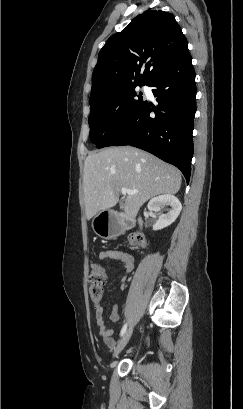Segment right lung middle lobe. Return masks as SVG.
I'll return each mask as SVG.
<instances>
[{
    "instance_id": "right-lung-middle-lobe-1",
    "label": "right lung middle lobe",
    "mask_w": 243,
    "mask_h": 409,
    "mask_svg": "<svg viewBox=\"0 0 243 409\" xmlns=\"http://www.w3.org/2000/svg\"><path fill=\"white\" fill-rule=\"evenodd\" d=\"M133 84L90 103V139L97 148L107 147L143 104L142 93Z\"/></svg>"
}]
</instances>
